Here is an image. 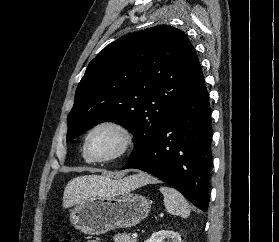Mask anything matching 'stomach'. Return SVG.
Segmentation results:
<instances>
[{
	"label": "stomach",
	"mask_w": 279,
	"mask_h": 242,
	"mask_svg": "<svg viewBox=\"0 0 279 242\" xmlns=\"http://www.w3.org/2000/svg\"><path fill=\"white\" fill-rule=\"evenodd\" d=\"M151 201L131 190L84 199L70 210L73 227L88 235H101L118 228L136 226L149 214Z\"/></svg>",
	"instance_id": "obj_1"
}]
</instances>
